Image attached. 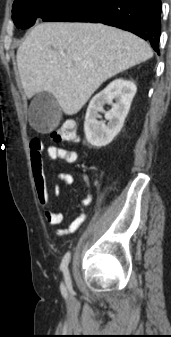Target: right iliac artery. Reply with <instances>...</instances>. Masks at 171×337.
Listing matches in <instances>:
<instances>
[{
    "instance_id": "1",
    "label": "right iliac artery",
    "mask_w": 171,
    "mask_h": 337,
    "mask_svg": "<svg viewBox=\"0 0 171 337\" xmlns=\"http://www.w3.org/2000/svg\"><path fill=\"white\" fill-rule=\"evenodd\" d=\"M70 252H67L62 260L60 269L62 270V272L64 273L65 276V280H66V284L68 287H71V279H70V275H69V271H68V264L70 261Z\"/></svg>"
}]
</instances>
